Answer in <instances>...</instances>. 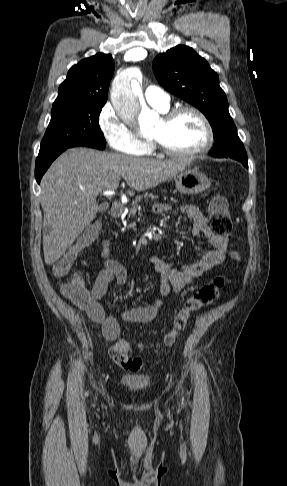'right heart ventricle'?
<instances>
[{
    "mask_svg": "<svg viewBox=\"0 0 287 486\" xmlns=\"http://www.w3.org/2000/svg\"><path fill=\"white\" fill-rule=\"evenodd\" d=\"M167 110H168V108L166 110H161V111L166 112ZM151 152H152V145L150 143L146 142L145 148L143 149V151L140 154L148 155V154H151Z\"/></svg>",
    "mask_w": 287,
    "mask_h": 486,
    "instance_id": "obj_1",
    "label": "right heart ventricle"
}]
</instances>
